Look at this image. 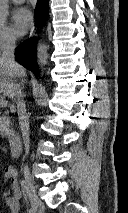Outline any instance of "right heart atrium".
<instances>
[{
  "mask_svg": "<svg viewBox=\"0 0 128 213\" xmlns=\"http://www.w3.org/2000/svg\"><path fill=\"white\" fill-rule=\"evenodd\" d=\"M16 41L15 33L9 27L0 25V52L13 47Z\"/></svg>",
  "mask_w": 128,
  "mask_h": 213,
  "instance_id": "right-heart-atrium-1",
  "label": "right heart atrium"
}]
</instances>
